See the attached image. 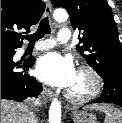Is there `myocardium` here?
<instances>
[{
  "label": "myocardium",
  "mask_w": 122,
  "mask_h": 123,
  "mask_svg": "<svg viewBox=\"0 0 122 123\" xmlns=\"http://www.w3.org/2000/svg\"><path fill=\"white\" fill-rule=\"evenodd\" d=\"M77 72L87 74L91 79V86L89 90L83 94H75L68 90L66 92V97L72 103L82 104L94 99L101 92L103 87V79L99 72L89 65L79 66Z\"/></svg>",
  "instance_id": "myocardium-1"
}]
</instances>
